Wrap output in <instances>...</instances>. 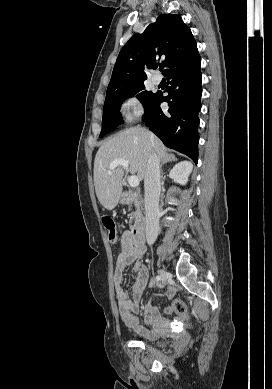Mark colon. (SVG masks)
Wrapping results in <instances>:
<instances>
[{
    "instance_id": "obj_1",
    "label": "colon",
    "mask_w": 272,
    "mask_h": 389,
    "mask_svg": "<svg viewBox=\"0 0 272 389\" xmlns=\"http://www.w3.org/2000/svg\"><path fill=\"white\" fill-rule=\"evenodd\" d=\"M103 224H104V227L107 231V236H108L109 241L112 243L116 242L118 235H117V229H116V224H115L114 220L111 217H104ZM172 310L179 317H181L183 319L188 318V308L182 300L175 299L172 302Z\"/></svg>"
}]
</instances>
